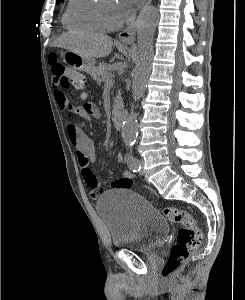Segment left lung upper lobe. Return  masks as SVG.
<instances>
[{
  "instance_id": "5c2ea615",
  "label": "left lung upper lobe",
  "mask_w": 245,
  "mask_h": 300,
  "mask_svg": "<svg viewBox=\"0 0 245 300\" xmlns=\"http://www.w3.org/2000/svg\"><path fill=\"white\" fill-rule=\"evenodd\" d=\"M60 2V0H57V3H59Z\"/></svg>"
}]
</instances>
